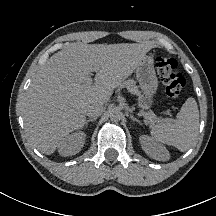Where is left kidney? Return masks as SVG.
Returning a JSON list of instances; mask_svg holds the SVG:
<instances>
[{"label":"left kidney","mask_w":216,"mask_h":216,"mask_svg":"<svg viewBox=\"0 0 216 216\" xmlns=\"http://www.w3.org/2000/svg\"><path fill=\"white\" fill-rule=\"evenodd\" d=\"M142 149L147 155L156 160H167L169 159L168 150L159 144L157 140L143 135L139 138Z\"/></svg>","instance_id":"left-kidney-1"}]
</instances>
